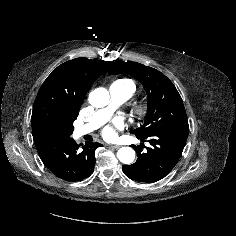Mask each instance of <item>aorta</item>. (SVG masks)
<instances>
[{"label":"aorta","mask_w":236,"mask_h":236,"mask_svg":"<svg viewBox=\"0 0 236 236\" xmlns=\"http://www.w3.org/2000/svg\"><path fill=\"white\" fill-rule=\"evenodd\" d=\"M109 92L105 88H97L89 94V102L96 108H102L109 103ZM118 159L124 164H130L135 159V151L131 147H122L117 152Z\"/></svg>","instance_id":"aorta-1"}]
</instances>
